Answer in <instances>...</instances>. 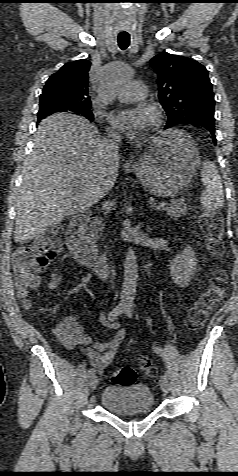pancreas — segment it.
<instances>
[{"label": "pancreas", "mask_w": 238, "mask_h": 476, "mask_svg": "<svg viewBox=\"0 0 238 476\" xmlns=\"http://www.w3.org/2000/svg\"><path fill=\"white\" fill-rule=\"evenodd\" d=\"M156 210L165 212L172 218H178L181 215L188 214V208L185 203V199L181 198L179 200H172L170 203L161 202L156 207ZM104 227V223L101 219H95L90 223L89 232L87 241L89 244L95 246L96 240H98L102 236V229Z\"/></svg>", "instance_id": "pancreas-1"}]
</instances>
